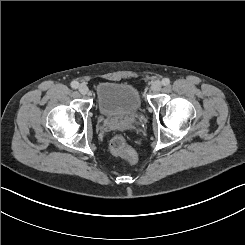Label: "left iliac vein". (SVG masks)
<instances>
[{
    "label": "left iliac vein",
    "mask_w": 245,
    "mask_h": 245,
    "mask_svg": "<svg viewBox=\"0 0 245 245\" xmlns=\"http://www.w3.org/2000/svg\"><path fill=\"white\" fill-rule=\"evenodd\" d=\"M151 89L154 93H157L161 89V82L156 80L152 83Z\"/></svg>",
    "instance_id": "4c4485c4"
}]
</instances>
